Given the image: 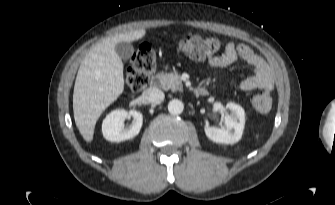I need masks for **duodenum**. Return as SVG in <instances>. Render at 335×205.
Instances as JSON below:
<instances>
[{"label": "duodenum", "mask_w": 335, "mask_h": 205, "mask_svg": "<svg viewBox=\"0 0 335 205\" xmlns=\"http://www.w3.org/2000/svg\"><path fill=\"white\" fill-rule=\"evenodd\" d=\"M159 80L156 76L152 77L151 79V85L156 86L158 84ZM196 94L200 96H206L208 94V90L204 87H200L196 89Z\"/></svg>", "instance_id": "obj_1"}]
</instances>
